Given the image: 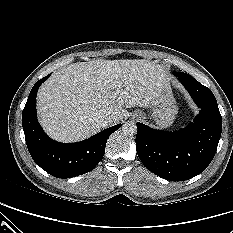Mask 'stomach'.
<instances>
[{"instance_id": "obj_1", "label": "stomach", "mask_w": 233, "mask_h": 233, "mask_svg": "<svg viewBox=\"0 0 233 233\" xmlns=\"http://www.w3.org/2000/svg\"><path fill=\"white\" fill-rule=\"evenodd\" d=\"M176 101L173 97L170 85L163 88L159 97L149 106V114L160 128H167L172 125L177 114ZM135 116L145 117V113L136 112Z\"/></svg>"}]
</instances>
